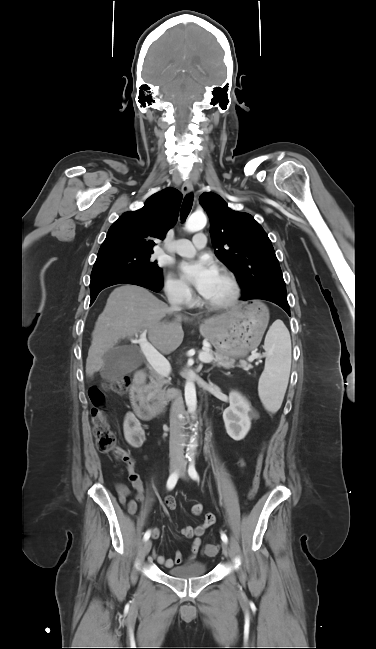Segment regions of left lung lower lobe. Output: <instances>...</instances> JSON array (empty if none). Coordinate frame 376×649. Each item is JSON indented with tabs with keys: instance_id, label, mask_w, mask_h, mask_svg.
I'll return each mask as SVG.
<instances>
[{
	"instance_id": "obj_1",
	"label": "left lung lower lobe",
	"mask_w": 376,
	"mask_h": 649,
	"mask_svg": "<svg viewBox=\"0 0 376 649\" xmlns=\"http://www.w3.org/2000/svg\"><path fill=\"white\" fill-rule=\"evenodd\" d=\"M241 299L242 300L263 299V300L271 301V302L279 305L281 308H283L287 312V314L290 316V307H289V304L287 302V298L279 297V296H276V295H274L272 293L262 291V292H259L256 295L252 296L249 299H243V298H241Z\"/></svg>"
}]
</instances>
